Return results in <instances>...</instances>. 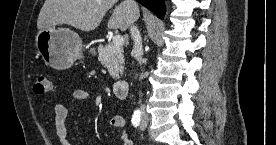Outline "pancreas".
Wrapping results in <instances>:
<instances>
[{"label":"pancreas","instance_id":"1","mask_svg":"<svg viewBox=\"0 0 276 145\" xmlns=\"http://www.w3.org/2000/svg\"><path fill=\"white\" fill-rule=\"evenodd\" d=\"M123 52L122 47H115L113 44L98 47V60L108 69L113 79H119L124 71Z\"/></svg>","mask_w":276,"mask_h":145}]
</instances>
